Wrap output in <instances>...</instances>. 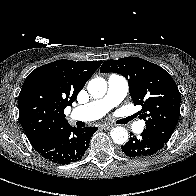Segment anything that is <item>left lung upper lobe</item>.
Returning a JSON list of instances; mask_svg holds the SVG:
<instances>
[{
  "instance_id": "5c2ea615",
  "label": "left lung upper lobe",
  "mask_w": 196,
  "mask_h": 196,
  "mask_svg": "<svg viewBox=\"0 0 196 196\" xmlns=\"http://www.w3.org/2000/svg\"><path fill=\"white\" fill-rule=\"evenodd\" d=\"M100 72L118 73L128 80L134 104L142 106L138 114L146 122L144 130L167 143L179 120L181 102L178 87L170 74L138 57L107 60Z\"/></svg>"
}]
</instances>
